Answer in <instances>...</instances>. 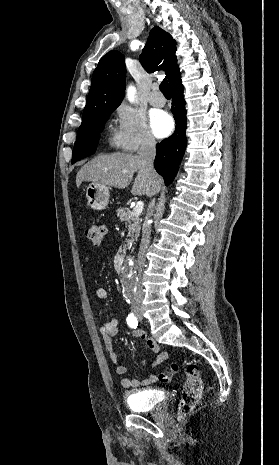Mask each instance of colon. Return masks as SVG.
Returning a JSON list of instances; mask_svg holds the SVG:
<instances>
[{
	"label": "colon",
	"mask_w": 279,
	"mask_h": 465,
	"mask_svg": "<svg viewBox=\"0 0 279 465\" xmlns=\"http://www.w3.org/2000/svg\"><path fill=\"white\" fill-rule=\"evenodd\" d=\"M86 237L95 246L103 243L105 228L102 225L93 224L86 229ZM179 364L171 363L167 372L159 374V380L163 383L170 381L171 376L177 373ZM202 379L200 376L199 366L196 363H189L186 367V382L183 395L178 407V417L184 418L201 400L202 397Z\"/></svg>",
	"instance_id": "obj_1"
}]
</instances>
